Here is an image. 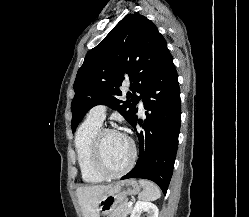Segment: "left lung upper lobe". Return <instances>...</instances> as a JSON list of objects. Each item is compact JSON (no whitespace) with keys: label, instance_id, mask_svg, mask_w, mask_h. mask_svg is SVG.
<instances>
[{"label":"left lung upper lobe","instance_id":"1","mask_svg":"<svg viewBox=\"0 0 249 217\" xmlns=\"http://www.w3.org/2000/svg\"><path fill=\"white\" fill-rule=\"evenodd\" d=\"M169 55L165 39L150 20L137 13L126 15L87 53L78 70L71 103L72 131L99 104L118 110L131 123L136 104ZM125 74L129 76L131 93H127L130 100L122 101L118 87Z\"/></svg>","mask_w":249,"mask_h":217}]
</instances>
